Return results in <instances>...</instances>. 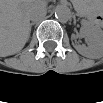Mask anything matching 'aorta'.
Returning <instances> with one entry per match:
<instances>
[{"label":"aorta","instance_id":"obj_1","mask_svg":"<svg viewBox=\"0 0 103 103\" xmlns=\"http://www.w3.org/2000/svg\"><path fill=\"white\" fill-rule=\"evenodd\" d=\"M55 17L59 22L65 23L71 17L70 8L66 5H59L54 10Z\"/></svg>","mask_w":103,"mask_h":103}]
</instances>
